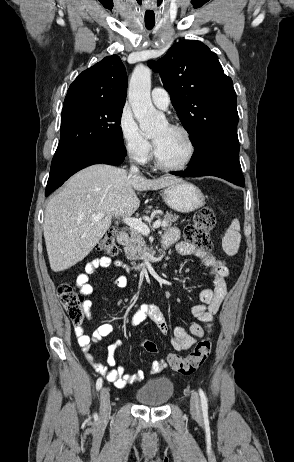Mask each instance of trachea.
<instances>
[{
  "label": "trachea",
  "mask_w": 294,
  "mask_h": 462,
  "mask_svg": "<svg viewBox=\"0 0 294 462\" xmlns=\"http://www.w3.org/2000/svg\"><path fill=\"white\" fill-rule=\"evenodd\" d=\"M155 23L153 22H145V26L147 29H152L154 27Z\"/></svg>",
  "instance_id": "trachea-1"
}]
</instances>
